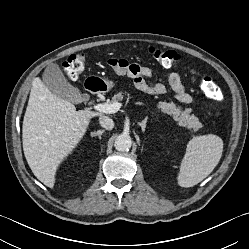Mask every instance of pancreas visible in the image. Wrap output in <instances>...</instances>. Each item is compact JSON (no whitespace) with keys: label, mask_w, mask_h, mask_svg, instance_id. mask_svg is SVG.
I'll use <instances>...</instances> for the list:
<instances>
[{"label":"pancreas","mask_w":249,"mask_h":249,"mask_svg":"<svg viewBox=\"0 0 249 249\" xmlns=\"http://www.w3.org/2000/svg\"><path fill=\"white\" fill-rule=\"evenodd\" d=\"M123 97V92L120 91L112 97L111 103L119 102L123 99ZM157 108L172 116L174 120L178 121L179 126L193 129L194 131H197L202 127V124L199 122L198 118L194 114H191L192 109L190 108H186L182 111L181 108L176 107L173 102H159L157 104Z\"/></svg>","instance_id":"1"}]
</instances>
